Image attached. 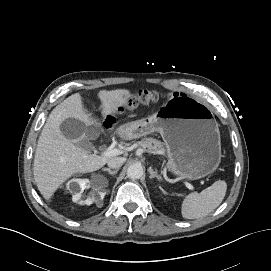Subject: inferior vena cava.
<instances>
[{"label": "inferior vena cava", "instance_id": "inferior-vena-cava-1", "mask_svg": "<svg viewBox=\"0 0 271 271\" xmlns=\"http://www.w3.org/2000/svg\"><path fill=\"white\" fill-rule=\"evenodd\" d=\"M123 157H113L108 161V166L113 169H118L125 162Z\"/></svg>", "mask_w": 271, "mask_h": 271}]
</instances>
